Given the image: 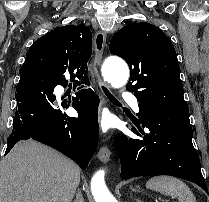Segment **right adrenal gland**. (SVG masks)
<instances>
[{
    "label": "right adrenal gland",
    "instance_id": "1",
    "mask_svg": "<svg viewBox=\"0 0 209 202\" xmlns=\"http://www.w3.org/2000/svg\"><path fill=\"white\" fill-rule=\"evenodd\" d=\"M74 202H84L82 192L80 189H77L76 198H75Z\"/></svg>",
    "mask_w": 209,
    "mask_h": 202
}]
</instances>
